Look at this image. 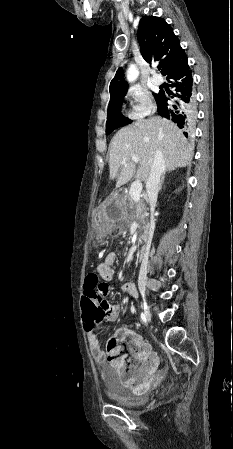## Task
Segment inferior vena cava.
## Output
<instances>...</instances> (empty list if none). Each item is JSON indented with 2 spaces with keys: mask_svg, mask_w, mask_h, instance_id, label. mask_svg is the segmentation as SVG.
<instances>
[{
  "mask_svg": "<svg viewBox=\"0 0 233 449\" xmlns=\"http://www.w3.org/2000/svg\"><path fill=\"white\" fill-rule=\"evenodd\" d=\"M164 171H165L164 156L161 150H157L153 158L149 177L146 181V191L151 211L150 224L148 226L147 239H146V248L150 247L152 235L155 228L154 211L158 197L160 178ZM146 274H147V264L142 263L139 272V278L146 279Z\"/></svg>",
  "mask_w": 233,
  "mask_h": 449,
  "instance_id": "inferior-vena-cava-1",
  "label": "inferior vena cava"
}]
</instances>
